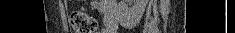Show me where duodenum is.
<instances>
[{
  "label": "duodenum",
  "instance_id": "duodenum-1",
  "mask_svg": "<svg viewBox=\"0 0 235 33\" xmlns=\"http://www.w3.org/2000/svg\"><path fill=\"white\" fill-rule=\"evenodd\" d=\"M118 16L117 5L111 1L108 2L104 17L105 33H113L118 28Z\"/></svg>",
  "mask_w": 235,
  "mask_h": 33
}]
</instances>
